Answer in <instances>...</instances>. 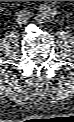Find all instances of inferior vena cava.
Segmentation results:
<instances>
[{
    "instance_id": "inferior-vena-cava-1",
    "label": "inferior vena cava",
    "mask_w": 74,
    "mask_h": 122,
    "mask_svg": "<svg viewBox=\"0 0 74 122\" xmlns=\"http://www.w3.org/2000/svg\"><path fill=\"white\" fill-rule=\"evenodd\" d=\"M29 16H30V12L26 10L20 11L18 12V15H17V21L19 23H24L29 19Z\"/></svg>"
}]
</instances>
